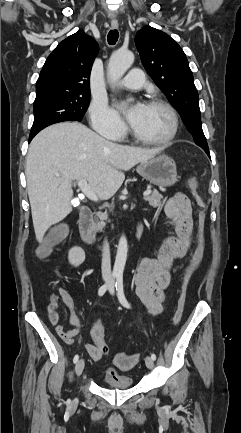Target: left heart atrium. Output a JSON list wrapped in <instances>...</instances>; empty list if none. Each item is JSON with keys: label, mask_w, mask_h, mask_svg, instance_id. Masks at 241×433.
Masks as SVG:
<instances>
[{"label": "left heart atrium", "mask_w": 241, "mask_h": 433, "mask_svg": "<svg viewBox=\"0 0 241 433\" xmlns=\"http://www.w3.org/2000/svg\"><path fill=\"white\" fill-rule=\"evenodd\" d=\"M119 106H120V107H123V104H120ZM144 106H145L144 104L138 102V103L132 105L131 107H129V108L127 109V111H126V117H127V120L129 121V123H130L132 126H133V125L136 123V121L138 120V118H139L141 112H142L143 109H144Z\"/></svg>", "instance_id": "39dd6f15"}]
</instances>
